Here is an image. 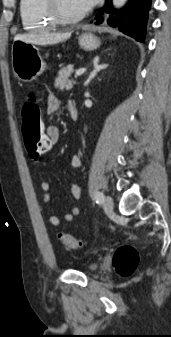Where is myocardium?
Wrapping results in <instances>:
<instances>
[{"label": "myocardium", "instance_id": "myocardium-1", "mask_svg": "<svg viewBox=\"0 0 171 337\" xmlns=\"http://www.w3.org/2000/svg\"><path fill=\"white\" fill-rule=\"evenodd\" d=\"M46 6L50 17L61 25L73 24L81 21L86 16V11H83L77 15H67L63 12L60 6V0H46Z\"/></svg>", "mask_w": 171, "mask_h": 337}]
</instances>
